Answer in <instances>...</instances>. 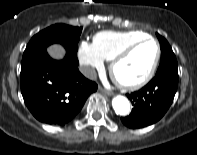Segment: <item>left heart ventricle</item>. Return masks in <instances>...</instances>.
<instances>
[{
  "mask_svg": "<svg viewBox=\"0 0 197 155\" xmlns=\"http://www.w3.org/2000/svg\"><path fill=\"white\" fill-rule=\"evenodd\" d=\"M156 55V45L146 42L137 47L116 67V76L123 82H136L142 79L151 67Z\"/></svg>",
  "mask_w": 197,
  "mask_h": 155,
  "instance_id": "obj_1",
  "label": "left heart ventricle"
}]
</instances>
